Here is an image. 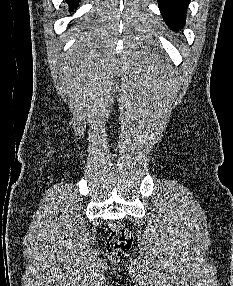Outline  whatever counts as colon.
<instances>
[{
  "label": "colon",
  "instance_id": "obj_1",
  "mask_svg": "<svg viewBox=\"0 0 233 286\" xmlns=\"http://www.w3.org/2000/svg\"><path fill=\"white\" fill-rule=\"evenodd\" d=\"M131 242L132 238L128 230L117 224L111 225V232L107 239V248L110 252H124L130 247Z\"/></svg>",
  "mask_w": 233,
  "mask_h": 286
}]
</instances>
